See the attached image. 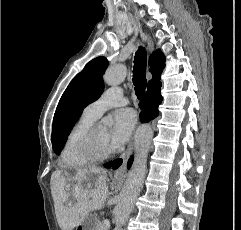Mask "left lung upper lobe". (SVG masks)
Segmentation results:
<instances>
[{"mask_svg":"<svg viewBox=\"0 0 241 230\" xmlns=\"http://www.w3.org/2000/svg\"><path fill=\"white\" fill-rule=\"evenodd\" d=\"M107 66L108 60L103 56L91 60L63 93L52 126V147L57 155L63 149L83 109L103 93V73Z\"/></svg>","mask_w":241,"mask_h":230,"instance_id":"1","label":"left lung upper lobe"}]
</instances>
